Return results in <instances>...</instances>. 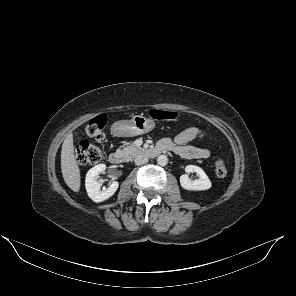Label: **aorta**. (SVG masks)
Listing matches in <instances>:
<instances>
[{
    "mask_svg": "<svg viewBox=\"0 0 296 296\" xmlns=\"http://www.w3.org/2000/svg\"><path fill=\"white\" fill-rule=\"evenodd\" d=\"M157 163L161 166H165L168 163V158L166 155H159L157 158Z\"/></svg>",
    "mask_w": 296,
    "mask_h": 296,
    "instance_id": "obj_1",
    "label": "aorta"
}]
</instances>
